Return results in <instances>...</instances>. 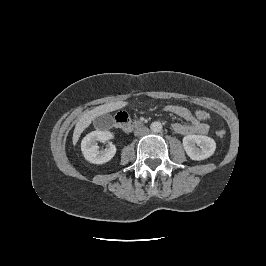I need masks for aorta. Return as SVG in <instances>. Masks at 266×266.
<instances>
[{
	"label": "aorta",
	"mask_w": 266,
	"mask_h": 266,
	"mask_svg": "<svg viewBox=\"0 0 266 266\" xmlns=\"http://www.w3.org/2000/svg\"><path fill=\"white\" fill-rule=\"evenodd\" d=\"M150 129L152 132H161L162 131V124L158 121L152 122L150 125Z\"/></svg>",
	"instance_id": "1"
}]
</instances>
